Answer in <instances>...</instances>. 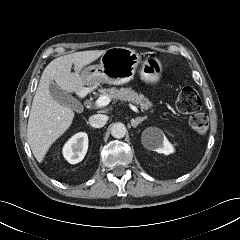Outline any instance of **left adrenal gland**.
I'll return each instance as SVG.
<instances>
[{
  "label": "left adrenal gland",
  "mask_w": 240,
  "mask_h": 240,
  "mask_svg": "<svg viewBox=\"0 0 240 240\" xmlns=\"http://www.w3.org/2000/svg\"><path fill=\"white\" fill-rule=\"evenodd\" d=\"M146 117H137L136 119L131 120V125L136 128L141 122H143Z\"/></svg>",
  "instance_id": "a2214340"
}]
</instances>
